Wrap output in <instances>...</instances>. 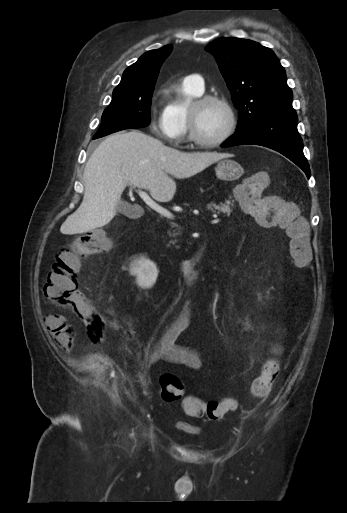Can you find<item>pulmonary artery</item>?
I'll list each match as a JSON object with an SVG mask.
<instances>
[{"label": "pulmonary artery", "instance_id": "1", "mask_svg": "<svg viewBox=\"0 0 347 513\" xmlns=\"http://www.w3.org/2000/svg\"><path fill=\"white\" fill-rule=\"evenodd\" d=\"M185 80L193 85L198 91L204 90V78L200 74L188 75Z\"/></svg>", "mask_w": 347, "mask_h": 513}]
</instances>
